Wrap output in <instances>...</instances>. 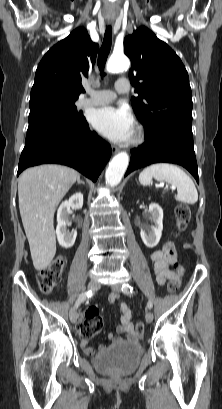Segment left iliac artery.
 <instances>
[{
  "label": "left iliac artery",
  "instance_id": "obj_1",
  "mask_svg": "<svg viewBox=\"0 0 222 409\" xmlns=\"http://www.w3.org/2000/svg\"><path fill=\"white\" fill-rule=\"evenodd\" d=\"M122 292H123L124 294H132V293L134 292V289H133V287L130 286L129 284L124 283V284L122 285ZM152 306H153L152 302H151V301H148L147 307H148L149 309H151Z\"/></svg>",
  "mask_w": 222,
  "mask_h": 409
}]
</instances>
